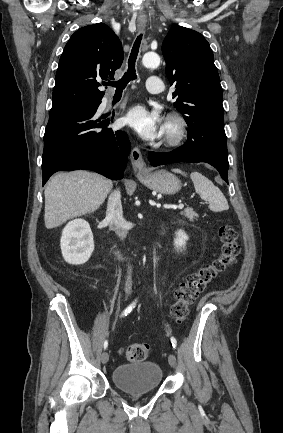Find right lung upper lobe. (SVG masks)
I'll list each match as a JSON object with an SVG mask.
<instances>
[{"label": "right lung upper lobe", "mask_w": 283, "mask_h": 433, "mask_svg": "<svg viewBox=\"0 0 283 433\" xmlns=\"http://www.w3.org/2000/svg\"><path fill=\"white\" fill-rule=\"evenodd\" d=\"M123 58L121 42L104 23L76 31L59 61L50 114L101 101L105 93L98 89L99 80L114 79Z\"/></svg>", "instance_id": "cb5924a9"}]
</instances>
